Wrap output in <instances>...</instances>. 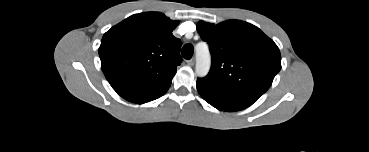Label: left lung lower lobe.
I'll return each mask as SVG.
<instances>
[{"instance_id":"obj_1","label":"left lung lower lobe","mask_w":369,"mask_h":152,"mask_svg":"<svg viewBox=\"0 0 369 152\" xmlns=\"http://www.w3.org/2000/svg\"><path fill=\"white\" fill-rule=\"evenodd\" d=\"M199 94L212 106L222 111H239L251 106L258 98L246 94L229 92L197 79Z\"/></svg>"}]
</instances>
